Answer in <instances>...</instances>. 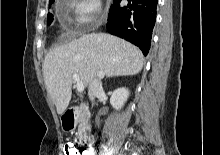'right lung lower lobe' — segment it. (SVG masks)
<instances>
[{
    "instance_id": "1",
    "label": "right lung lower lobe",
    "mask_w": 220,
    "mask_h": 155,
    "mask_svg": "<svg viewBox=\"0 0 220 155\" xmlns=\"http://www.w3.org/2000/svg\"><path fill=\"white\" fill-rule=\"evenodd\" d=\"M157 2L128 0L127 7H120V0H113L106 24L108 32L138 46L146 56L155 25Z\"/></svg>"
}]
</instances>
